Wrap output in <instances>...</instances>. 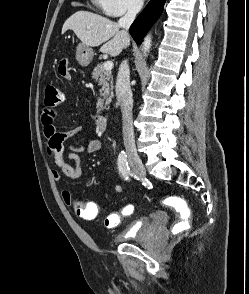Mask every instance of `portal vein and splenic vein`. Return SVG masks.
<instances>
[{"label":"portal vein and splenic vein","mask_w":249,"mask_h":294,"mask_svg":"<svg viewBox=\"0 0 249 294\" xmlns=\"http://www.w3.org/2000/svg\"><path fill=\"white\" fill-rule=\"evenodd\" d=\"M103 68L105 70H111L113 68V62L112 61H106L103 65Z\"/></svg>","instance_id":"portal-vein-and-splenic-vein-1"}]
</instances>
